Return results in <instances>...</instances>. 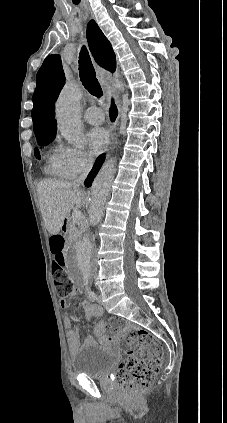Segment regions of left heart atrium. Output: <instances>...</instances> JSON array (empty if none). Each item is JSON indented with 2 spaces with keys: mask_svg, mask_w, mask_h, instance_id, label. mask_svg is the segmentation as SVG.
Instances as JSON below:
<instances>
[{
  "mask_svg": "<svg viewBox=\"0 0 227 423\" xmlns=\"http://www.w3.org/2000/svg\"><path fill=\"white\" fill-rule=\"evenodd\" d=\"M88 142L94 154L101 153L109 143V135L102 128H96L88 134Z\"/></svg>",
  "mask_w": 227,
  "mask_h": 423,
  "instance_id": "obj_1",
  "label": "left heart atrium"
}]
</instances>
